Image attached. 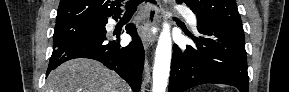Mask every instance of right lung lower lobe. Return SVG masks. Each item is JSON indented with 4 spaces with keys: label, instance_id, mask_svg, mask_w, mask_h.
<instances>
[{
    "label": "right lung lower lobe",
    "instance_id": "1",
    "mask_svg": "<svg viewBox=\"0 0 289 92\" xmlns=\"http://www.w3.org/2000/svg\"><path fill=\"white\" fill-rule=\"evenodd\" d=\"M106 23L107 21L105 25ZM125 29L132 36V41L126 47H121L119 40H108L106 32L96 37L80 38L53 47L47 75L51 70L70 59L90 58L115 70L130 84L134 92H138L144 66V48L135 26L129 24Z\"/></svg>",
    "mask_w": 289,
    "mask_h": 92
}]
</instances>
